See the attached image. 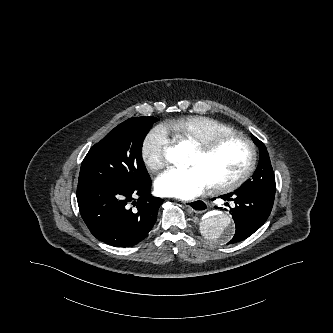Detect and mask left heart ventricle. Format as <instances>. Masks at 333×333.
Returning a JSON list of instances; mask_svg holds the SVG:
<instances>
[{
  "mask_svg": "<svg viewBox=\"0 0 333 333\" xmlns=\"http://www.w3.org/2000/svg\"><path fill=\"white\" fill-rule=\"evenodd\" d=\"M249 159L250 152L245 143L230 141L207 156L196 149L189 165L200 167L212 184L238 176L247 167Z\"/></svg>",
  "mask_w": 333,
  "mask_h": 333,
  "instance_id": "b2bd125f",
  "label": "left heart ventricle"
}]
</instances>
